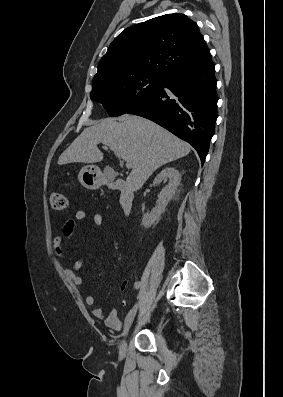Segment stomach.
Instances as JSON below:
<instances>
[{
    "label": "stomach",
    "instance_id": "stomach-1",
    "mask_svg": "<svg viewBox=\"0 0 283 397\" xmlns=\"http://www.w3.org/2000/svg\"><path fill=\"white\" fill-rule=\"evenodd\" d=\"M106 174L95 165H86L81 168L78 179L80 183L87 189H97L105 181Z\"/></svg>",
    "mask_w": 283,
    "mask_h": 397
}]
</instances>
